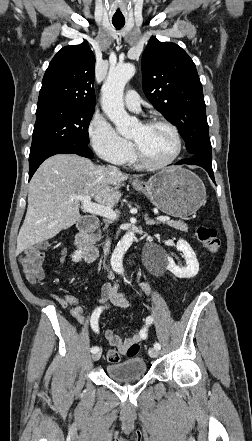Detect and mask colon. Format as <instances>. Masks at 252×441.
<instances>
[{"mask_svg": "<svg viewBox=\"0 0 252 441\" xmlns=\"http://www.w3.org/2000/svg\"><path fill=\"white\" fill-rule=\"evenodd\" d=\"M195 236L197 240L210 252L217 253L221 247V241L217 236V232L213 227L206 225H198L195 227ZM44 259V246H34L27 249L19 258L20 265L28 279L32 284L41 281L44 278L42 262ZM121 310L127 309V307ZM139 351L138 343L133 344L127 351L126 355L132 357ZM121 355L117 350H109L106 359L109 363H118Z\"/></svg>", "mask_w": 252, "mask_h": 441, "instance_id": "5ec220e1", "label": "colon"}]
</instances>
